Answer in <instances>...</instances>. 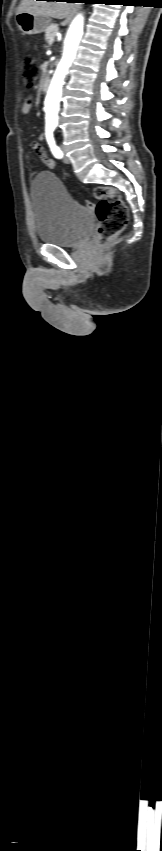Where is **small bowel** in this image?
Listing matches in <instances>:
<instances>
[{"label":"small bowel","mask_w":162,"mask_h":851,"mask_svg":"<svg viewBox=\"0 0 162 851\" xmlns=\"http://www.w3.org/2000/svg\"><path fill=\"white\" fill-rule=\"evenodd\" d=\"M33 104V99L31 97H27L21 105L22 114L27 115L31 111ZM43 139L44 135L41 134L39 136V141H42ZM31 147L48 168H53L55 166V161L47 157L44 147L39 142H33Z\"/></svg>","instance_id":"1"}]
</instances>
